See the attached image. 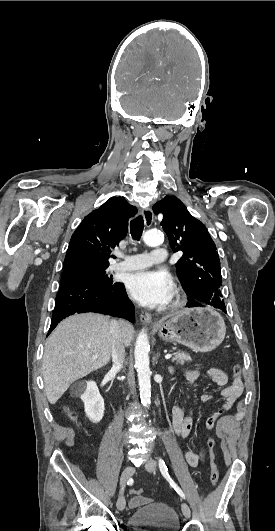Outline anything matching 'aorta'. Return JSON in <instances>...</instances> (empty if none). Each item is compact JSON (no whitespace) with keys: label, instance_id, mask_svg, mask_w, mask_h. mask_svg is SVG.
<instances>
[{"label":"aorta","instance_id":"obj_1","mask_svg":"<svg viewBox=\"0 0 275 531\" xmlns=\"http://www.w3.org/2000/svg\"><path fill=\"white\" fill-rule=\"evenodd\" d=\"M143 241L148 247H157L161 241V235L158 231H146L143 235ZM150 345L148 335L145 329L139 333L134 349L135 367L138 375L140 399L144 407H149L151 403V371L149 367Z\"/></svg>","mask_w":275,"mask_h":531}]
</instances>
